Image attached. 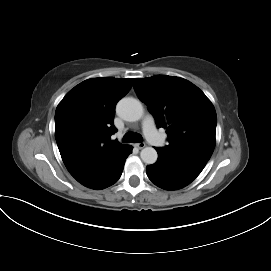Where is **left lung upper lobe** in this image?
Wrapping results in <instances>:
<instances>
[{
	"instance_id": "obj_1",
	"label": "left lung upper lobe",
	"mask_w": 271,
	"mask_h": 271,
	"mask_svg": "<svg viewBox=\"0 0 271 271\" xmlns=\"http://www.w3.org/2000/svg\"><path fill=\"white\" fill-rule=\"evenodd\" d=\"M134 89L157 126L167 129L165 150L208 162L215 147L217 116L198 87L180 77L156 75L134 79Z\"/></svg>"
}]
</instances>
